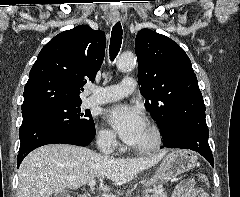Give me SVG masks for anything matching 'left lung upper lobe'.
Masks as SVG:
<instances>
[{
	"mask_svg": "<svg viewBox=\"0 0 240 197\" xmlns=\"http://www.w3.org/2000/svg\"><path fill=\"white\" fill-rule=\"evenodd\" d=\"M138 76L145 107L153 119L179 114L192 99H202L191 61L172 39L149 29L136 36Z\"/></svg>",
	"mask_w": 240,
	"mask_h": 197,
	"instance_id": "obj_1",
	"label": "left lung upper lobe"
}]
</instances>
